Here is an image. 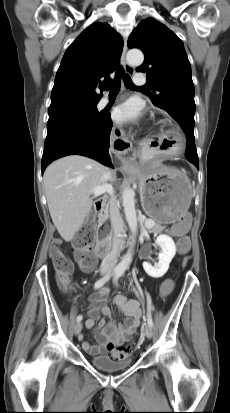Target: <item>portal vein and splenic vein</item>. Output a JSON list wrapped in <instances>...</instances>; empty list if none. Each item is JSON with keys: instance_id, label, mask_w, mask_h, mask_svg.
Returning a JSON list of instances; mask_svg holds the SVG:
<instances>
[{"instance_id": "18ae733b", "label": "portal vein and splenic vein", "mask_w": 230, "mask_h": 413, "mask_svg": "<svg viewBox=\"0 0 230 413\" xmlns=\"http://www.w3.org/2000/svg\"><path fill=\"white\" fill-rule=\"evenodd\" d=\"M92 193L94 194V196H99V195L104 194V193H108L110 195H113L114 190H113L112 185L104 184V185L96 186L95 188H93ZM154 224L155 223L153 221H149V226L148 227H151Z\"/></svg>"}]
</instances>
